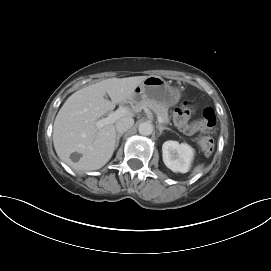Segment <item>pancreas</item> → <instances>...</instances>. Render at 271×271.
<instances>
[{
  "mask_svg": "<svg viewBox=\"0 0 271 271\" xmlns=\"http://www.w3.org/2000/svg\"><path fill=\"white\" fill-rule=\"evenodd\" d=\"M150 108L157 116H160L163 123H169L168 108L151 100H141L136 104L137 109Z\"/></svg>",
  "mask_w": 271,
  "mask_h": 271,
  "instance_id": "cf45deb5",
  "label": "pancreas"
}]
</instances>
